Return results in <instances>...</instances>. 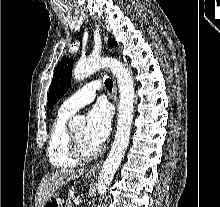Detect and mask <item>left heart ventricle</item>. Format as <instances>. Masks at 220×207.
<instances>
[{
  "instance_id": "b2bd125f",
  "label": "left heart ventricle",
  "mask_w": 220,
  "mask_h": 207,
  "mask_svg": "<svg viewBox=\"0 0 220 207\" xmlns=\"http://www.w3.org/2000/svg\"><path fill=\"white\" fill-rule=\"evenodd\" d=\"M74 136L77 138L82 150L86 154H91L97 150V147L94 146L85 136V128L81 127L72 131Z\"/></svg>"
}]
</instances>
